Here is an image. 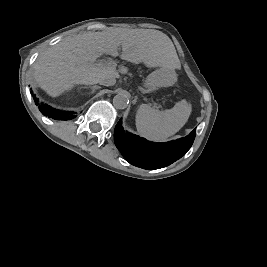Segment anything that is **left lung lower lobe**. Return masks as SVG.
Here are the masks:
<instances>
[{"label":"left lung lower lobe","instance_id":"left-lung-lower-lobe-1","mask_svg":"<svg viewBox=\"0 0 267 267\" xmlns=\"http://www.w3.org/2000/svg\"><path fill=\"white\" fill-rule=\"evenodd\" d=\"M121 122L120 119L115 126V145L130 164L144 169H158L175 162L190 149L196 135L194 129L185 138L167 143H153L125 132Z\"/></svg>","mask_w":267,"mask_h":267}]
</instances>
